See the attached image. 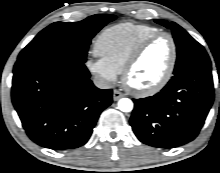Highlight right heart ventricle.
<instances>
[{
    "mask_svg": "<svg viewBox=\"0 0 220 173\" xmlns=\"http://www.w3.org/2000/svg\"><path fill=\"white\" fill-rule=\"evenodd\" d=\"M159 32V29L145 24L120 23L104 29L97 37V55L117 73L123 67L136 46L145 38Z\"/></svg>",
    "mask_w": 220,
    "mask_h": 173,
    "instance_id": "e07e8e85",
    "label": "right heart ventricle"
}]
</instances>
